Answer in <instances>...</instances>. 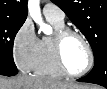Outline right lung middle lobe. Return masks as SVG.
<instances>
[{
    "label": "right lung middle lobe",
    "instance_id": "obj_1",
    "mask_svg": "<svg viewBox=\"0 0 107 89\" xmlns=\"http://www.w3.org/2000/svg\"><path fill=\"white\" fill-rule=\"evenodd\" d=\"M24 21L0 17V72L17 73L13 61V43Z\"/></svg>",
    "mask_w": 107,
    "mask_h": 89
}]
</instances>
